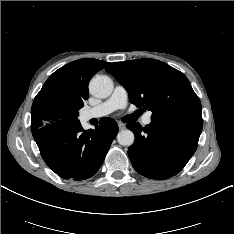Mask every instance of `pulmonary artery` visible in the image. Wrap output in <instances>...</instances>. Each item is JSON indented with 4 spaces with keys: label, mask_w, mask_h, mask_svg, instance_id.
Wrapping results in <instances>:
<instances>
[{
    "label": "pulmonary artery",
    "mask_w": 234,
    "mask_h": 234,
    "mask_svg": "<svg viewBox=\"0 0 234 234\" xmlns=\"http://www.w3.org/2000/svg\"><path fill=\"white\" fill-rule=\"evenodd\" d=\"M128 103V93L126 89L117 85L112 95L105 100L104 102L92 107L88 108L83 112V119L90 120L93 118H101L107 116L117 109H123L127 106ZM142 123L144 125H149L151 123V113H146L142 118Z\"/></svg>",
    "instance_id": "e3ab8cb5"
}]
</instances>
